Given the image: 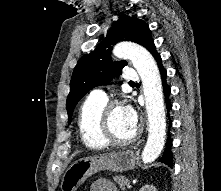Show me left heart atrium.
I'll use <instances>...</instances> for the list:
<instances>
[{
	"instance_id": "left-heart-atrium-1",
	"label": "left heart atrium",
	"mask_w": 221,
	"mask_h": 191,
	"mask_svg": "<svg viewBox=\"0 0 221 191\" xmlns=\"http://www.w3.org/2000/svg\"><path fill=\"white\" fill-rule=\"evenodd\" d=\"M122 110H123V115H124V118H125L127 124L132 129L135 130L137 127V124H138V117H137L136 111L130 105H126V106L122 107Z\"/></svg>"
}]
</instances>
